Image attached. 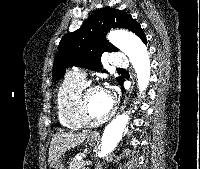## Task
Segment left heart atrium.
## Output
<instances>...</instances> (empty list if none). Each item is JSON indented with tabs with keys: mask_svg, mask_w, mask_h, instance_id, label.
Masks as SVG:
<instances>
[{
	"mask_svg": "<svg viewBox=\"0 0 200 169\" xmlns=\"http://www.w3.org/2000/svg\"><path fill=\"white\" fill-rule=\"evenodd\" d=\"M104 95H105V98L109 104L110 107H112L113 105V97H112V94L109 92V91H103Z\"/></svg>",
	"mask_w": 200,
	"mask_h": 169,
	"instance_id": "obj_1",
	"label": "left heart atrium"
}]
</instances>
